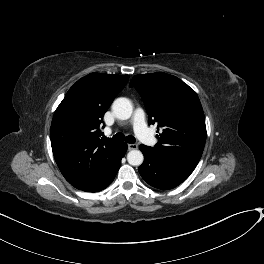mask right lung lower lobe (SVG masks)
Here are the masks:
<instances>
[{
	"instance_id": "98d812e1",
	"label": "right lung lower lobe",
	"mask_w": 264,
	"mask_h": 264,
	"mask_svg": "<svg viewBox=\"0 0 264 264\" xmlns=\"http://www.w3.org/2000/svg\"><path fill=\"white\" fill-rule=\"evenodd\" d=\"M126 151H127V145L125 143H121L119 157H118L114 167L112 168V170L99 182H97L94 185H91L89 187L80 189V190L90 191V192H98V191H101V190L105 189L106 187H108L112 183V181L114 180V178H115V176L119 170V167L121 165V159L124 157Z\"/></svg>"
}]
</instances>
